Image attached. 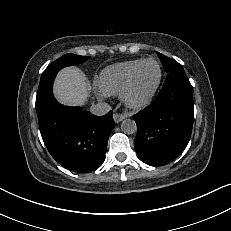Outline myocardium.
Listing matches in <instances>:
<instances>
[{"instance_id": "myocardium-1", "label": "myocardium", "mask_w": 231, "mask_h": 231, "mask_svg": "<svg viewBox=\"0 0 231 231\" xmlns=\"http://www.w3.org/2000/svg\"><path fill=\"white\" fill-rule=\"evenodd\" d=\"M147 62H154L157 65L158 71H159L158 79H157L154 87L151 89V91L143 99L135 100L132 96L135 77L137 75V72L141 68V66ZM162 78H163V70H162L160 63L154 58L143 59L141 62H139L134 67V69L132 70V72L129 75V78H128L123 90L121 91V97H122V100L125 103V105L131 109H134V110L143 109V108L147 107L148 105H150L151 102L153 101L154 97L157 94V91H158V89L161 85V82H162Z\"/></svg>"}]
</instances>
